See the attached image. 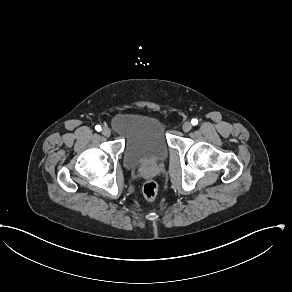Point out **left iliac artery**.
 Listing matches in <instances>:
<instances>
[{"label": "left iliac artery", "mask_w": 292, "mask_h": 292, "mask_svg": "<svg viewBox=\"0 0 292 292\" xmlns=\"http://www.w3.org/2000/svg\"><path fill=\"white\" fill-rule=\"evenodd\" d=\"M192 125H197L198 124V120L196 118L191 120Z\"/></svg>", "instance_id": "1"}]
</instances>
